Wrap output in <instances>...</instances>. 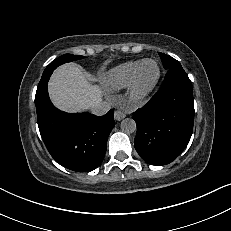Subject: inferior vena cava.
Wrapping results in <instances>:
<instances>
[{"instance_id": "602c4592", "label": "inferior vena cava", "mask_w": 231, "mask_h": 231, "mask_svg": "<svg viewBox=\"0 0 231 231\" xmlns=\"http://www.w3.org/2000/svg\"><path fill=\"white\" fill-rule=\"evenodd\" d=\"M111 109V104L109 102L103 101L95 104L91 107V112L94 115H104Z\"/></svg>"}]
</instances>
